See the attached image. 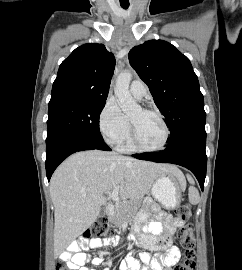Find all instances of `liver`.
I'll return each mask as SVG.
<instances>
[{
	"mask_svg": "<svg viewBox=\"0 0 242 270\" xmlns=\"http://www.w3.org/2000/svg\"><path fill=\"white\" fill-rule=\"evenodd\" d=\"M164 173L184 179L173 165L141 161L115 152L89 150L68 157L50 181L55 207V252L60 253L96 221L106 204V194L119 187L123 200L139 202Z\"/></svg>",
	"mask_w": 242,
	"mask_h": 270,
	"instance_id": "liver-1",
	"label": "liver"
}]
</instances>
